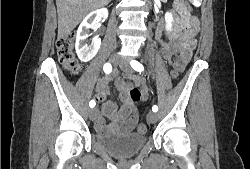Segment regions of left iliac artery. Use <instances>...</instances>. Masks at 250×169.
Instances as JSON below:
<instances>
[{
  "instance_id": "obj_1",
  "label": "left iliac artery",
  "mask_w": 250,
  "mask_h": 169,
  "mask_svg": "<svg viewBox=\"0 0 250 169\" xmlns=\"http://www.w3.org/2000/svg\"><path fill=\"white\" fill-rule=\"evenodd\" d=\"M130 64H131L132 68H133L134 70L138 71V72H141V71L144 70L143 65H142L141 63H139L138 61H136V60H132V61L130 62ZM152 111H153V112H157V111H158V107H157L156 105H154V106L152 107Z\"/></svg>"
}]
</instances>
